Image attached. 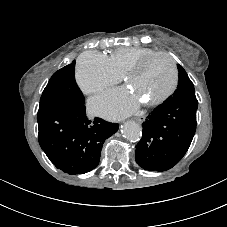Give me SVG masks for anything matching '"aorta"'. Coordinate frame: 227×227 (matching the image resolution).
Segmentation results:
<instances>
[{"mask_svg":"<svg viewBox=\"0 0 227 227\" xmlns=\"http://www.w3.org/2000/svg\"><path fill=\"white\" fill-rule=\"evenodd\" d=\"M121 132L126 139L133 142L139 141L142 135L141 127L134 121H126Z\"/></svg>","mask_w":227,"mask_h":227,"instance_id":"aorta-1","label":"aorta"}]
</instances>
